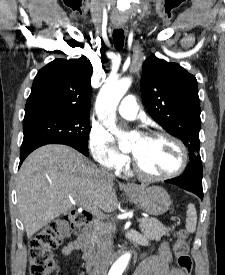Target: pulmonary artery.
Here are the masks:
<instances>
[{
  "label": "pulmonary artery",
  "mask_w": 225,
  "mask_h": 275,
  "mask_svg": "<svg viewBox=\"0 0 225 275\" xmlns=\"http://www.w3.org/2000/svg\"><path fill=\"white\" fill-rule=\"evenodd\" d=\"M138 110L136 98L132 95L124 97L118 107L119 114L127 119H134L137 116Z\"/></svg>",
  "instance_id": "pulmonary-artery-1"
}]
</instances>
